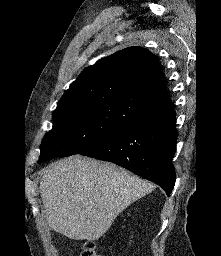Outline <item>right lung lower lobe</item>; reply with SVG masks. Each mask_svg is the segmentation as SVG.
<instances>
[{
  "mask_svg": "<svg viewBox=\"0 0 221 256\" xmlns=\"http://www.w3.org/2000/svg\"><path fill=\"white\" fill-rule=\"evenodd\" d=\"M171 110L120 129L79 154L110 161L148 179L169 195L176 180L172 164L177 133Z\"/></svg>",
  "mask_w": 221,
  "mask_h": 256,
  "instance_id": "98d812e1",
  "label": "right lung lower lobe"
}]
</instances>
